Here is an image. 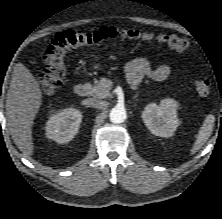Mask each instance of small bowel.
<instances>
[{
    "label": "small bowel",
    "mask_w": 222,
    "mask_h": 219,
    "mask_svg": "<svg viewBox=\"0 0 222 219\" xmlns=\"http://www.w3.org/2000/svg\"><path fill=\"white\" fill-rule=\"evenodd\" d=\"M125 70L127 80L133 86L140 84L145 78L162 81L166 79L171 72L167 64H161L152 68L150 62L146 58H137L130 61L126 65Z\"/></svg>",
    "instance_id": "obj_1"
}]
</instances>
